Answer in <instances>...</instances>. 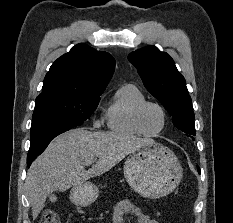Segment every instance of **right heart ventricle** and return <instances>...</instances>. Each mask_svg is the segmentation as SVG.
<instances>
[{"mask_svg":"<svg viewBox=\"0 0 233 223\" xmlns=\"http://www.w3.org/2000/svg\"><path fill=\"white\" fill-rule=\"evenodd\" d=\"M145 100L144 93L136 84L121 85L105 110L104 121L107 128L119 135H142L134 125L133 115L136 107Z\"/></svg>","mask_w":233,"mask_h":223,"instance_id":"obj_1","label":"right heart ventricle"}]
</instances>
